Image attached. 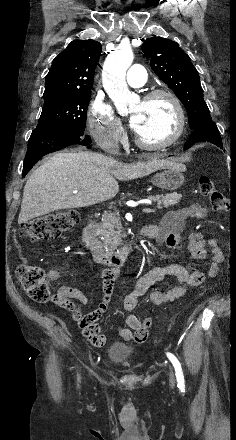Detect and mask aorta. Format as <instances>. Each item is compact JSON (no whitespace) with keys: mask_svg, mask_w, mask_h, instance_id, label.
I'll return each mask as SVG.
<instances>
[{"mask_svg":"<svg viewBox=\"0 0 236 440\" xmlns=\"http://www.w3.org/2000/svg\"><path fill=\"white\" fill-rule=\"evenodd\" d=\"M133 59L132 49L128 46H120L104 62L103 86L119 112L125 111L136 99V96L130 93L125 80L126 71Z\"/></svg>","mask_w":236,"mask_h":440,"instance_id":"obj_1","label":"aorta"}]
</instances>
